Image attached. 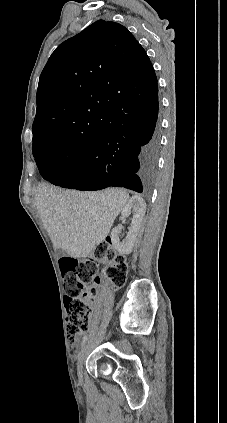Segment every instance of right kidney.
Listing matches in <instances>:
<instances>
[{
    "label": "right kidney",
    "instance_id": "1",
    "mask_svg": "<svg viewBox=\"0 0 227 423\" xmlns=\"http://www.w3.org/2000/svg\"><path fill=\"white\" fill-rule=\"evenodd\" d=\"M145 210L146 202L143 198H141V196H132L128 204L122 208L121 213L123 217H125V215H129L130 211H135V213L132 217L130 227H128L129 231H127L126 241H120L119 233L121 231V225L113 227L111 231V243L113 247H115L116 251H119L121 255H128V253H131L134 247L136 235H138V231L145 215Z\"/></svg>",
    "mask_w": 227,
    "mask_h": 423
}]
</instances>
